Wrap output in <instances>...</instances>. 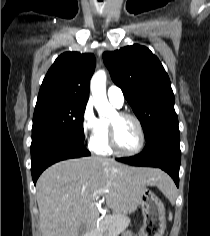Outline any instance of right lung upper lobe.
Segmentation results:
<instances>
[{"mask_svg":"<svg viewBox=\"0 0 210 236\" xmlns=\"http://www.w3.org/2000/svg\"><path fill=\"white\" fill-rule=\"evenodd\" d=\"M95 56L90 53L61 54L47 72L37 102L53 99L88 101L89 82L95 69Z\"/></svg>","mask_w":210,"mask_h":236,"instance_id":"obj_1","label":"right lung upper lobe"}]
</instances>
